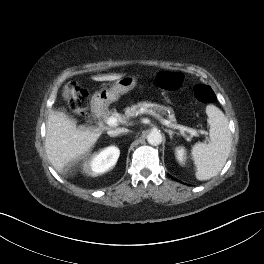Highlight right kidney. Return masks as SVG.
Wrapping results in <instances>:
<instances>
[{"label":"right kidney","mask_w":264,"mask_h":264,"mask_svg":"<svg viewBox=\"0 0 264 264\" xmlns=\"http://www.w3.org/2000/svg\"><path fill=\"white\" fill-rule=\"evenodd\" d=\"M120 155V150L110 146L93 156L89 163H86L84 170L90 174L97 175L107 172L115 166Z\"/></svg>","instance_id":"right-kidney-1"}]
</instances>
